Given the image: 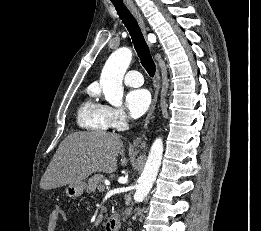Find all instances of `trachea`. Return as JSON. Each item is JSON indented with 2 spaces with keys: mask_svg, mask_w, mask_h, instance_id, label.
<instances>
[{
  "mask_svg": "<svg viewBox=\"0 0 261 231\" xmlns=\"http://www.w3.org/2000/svg\"><path fill=\"white\" fill-rule=\"evenodd\" d=\"M111 2L115 6L119 17L129 31L142 66L145 68L148 74L153 77L156 70L155 63L136 19L124 5L122 0H111Z\"/></svg>",
  "mask_w": 261,
  "mask_h": 231,
  "instance_id": "1",
  "label": "trachea"
}]
</instances>
